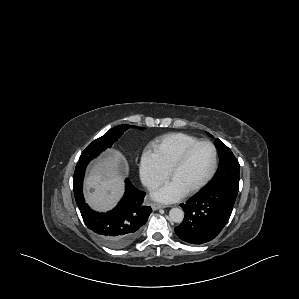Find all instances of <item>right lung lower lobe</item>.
<instances>
[{"label":"right lung lower lobe","mask_w":299,"mask_h":299,"mask_svg":"<svg viewBox=\"0 0 299 299\" xmlns=\"http://www.w3.org/2000/svg\"><path fill=\"white\" fill-rule=\"evenodd\" d=\"M90 160L83 159L77 163L73 178L74 196L84 223L107 246L114 249L128 247L137 238L152 209L144 205L145 193L126 179L125 194L113 210L106 213L93 211L85 203L82 192L84 173Z\"/></svg>","instance_id":"98d812e1"}]
</instances>
